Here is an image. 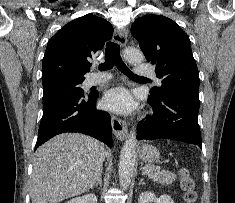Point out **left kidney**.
Segmentation results:
<instances>
[{"label":"left kidney","mask_w":235,"mask_h":203,"mask_svg":"<svg viewBox=\"0 0 235 203\" xmlns=\"http://www.w3.org/2000/svg\"><path fill=\"white\" fill-rule=\"evenodd\" d=\"M153 201L155 203H175L173 199L166 194L157 198L153 192L148 191L142 192L138 198V203H151Z\"/></svg>","instance_id":"obj_1"}]
</instances>
